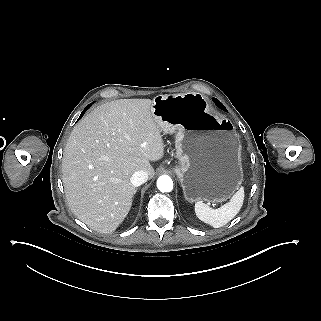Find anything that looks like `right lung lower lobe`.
Listing matches in <instances>:
<instances>
[{"label": "right lung lower lobe", "instance_id": "right-lung-lower-lobe-1", "mask_svg": "<svg viewBox=\"0 0 321 321\" xmlns=\"http://www.w3.org/2000/svg\"><path fill=\"white\" fill-rule=\"evenodd\" d=\"M91 105H92V104H89V105L83 110V112L81 113L79 119L84 115L85 111H86L87 109H89V107H90ZM79 119H78V120H79Z\"/></svg>", "mask_w": 321, "mask_h": 321}]
</instances>
